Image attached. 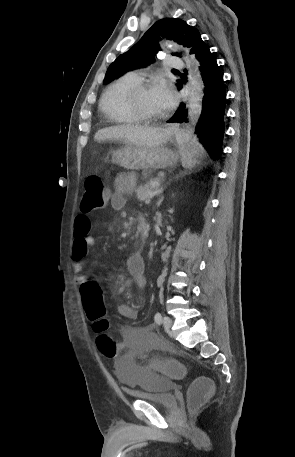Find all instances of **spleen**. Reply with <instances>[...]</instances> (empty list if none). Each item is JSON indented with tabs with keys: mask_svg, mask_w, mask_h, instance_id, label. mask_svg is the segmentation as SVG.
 <instances>
[{
	"mask_svg": "<svg viewBox=\"0 0 295 457\" xmlns=\"http://www.w3.org/2000/svg\"><path fill=\"white\" fill-rule=\"evenodd\" d=\"M177 142L179 143L182 166L192 168L198 163V158L202 157L203 150L196 139L186 140L181 132L177 131Z\"/></svg>",
	"mask_w": 295,
	"mask_h": 457,
	"instance_id": "3e777b00",
	"label": "spleen"
}]
</instances>
